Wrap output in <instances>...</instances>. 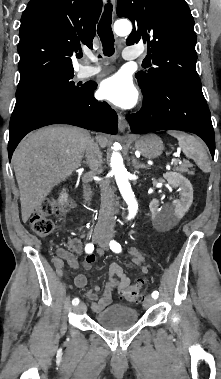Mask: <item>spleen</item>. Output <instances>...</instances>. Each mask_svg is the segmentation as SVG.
I'll use <instances>...</instances> for the list:
<instances>
[{"mask_svg":"<svg viewBox=\"0 0 221 379\" xmlns=\"http://www.w3.org/2000/svg\"><path fill=\"white\" fill-rule=\"evenodd\" d=\"M170 134L177 138L179 147L188 158L194 160L203 172H210L211 166L207 151L199 140L184 132L174 131Z\"/></svg>","mask_w":221,"mask_h":379,"instance_id":"obj_1","label":"spleen"}]
</instances>
